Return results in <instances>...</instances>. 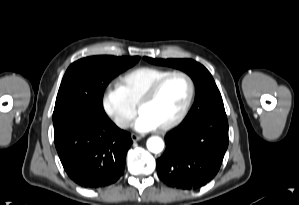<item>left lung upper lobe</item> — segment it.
<instances>
[{"instance_id": "5c2ea615", "label": "left lung upper lobe", "mask_w": 299, "mask_h": 205, "mask_svg": "<svg viewBox=\"0 0 299 205\" xmlns=\"http://www.w3.org/2000/svg\"><path fill=\"white\" fill-rule=\"evenodd\" d=\"M152 64L170 66L186 72L196 86L195 102L186 119H197L217 110L224 109L221 94L209 71L192 59H153L144 57Z\"/></svg>"}]
</instances>
